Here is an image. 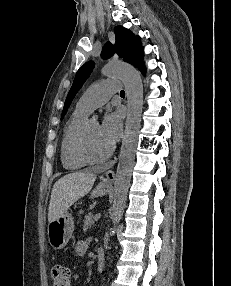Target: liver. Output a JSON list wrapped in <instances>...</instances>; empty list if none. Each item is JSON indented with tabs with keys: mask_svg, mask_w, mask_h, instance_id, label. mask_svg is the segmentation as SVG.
Masks as SVG:
<instances>
[{
	"mask_svg": "<svg viewBox=\"0 0 231 286\" xmlns=\"http://www.w3.org/2000/svg\"><path fill=\"white\" fill-rule=\"evenodd\" d=\"M95 180L96 175L87 172H74L60 178L51 192L48 221L60 217L77 200L89 193Z\"/></svg>",
	"mask_w": 231,
	"mask_h": 286,
	"instance_id": "1",
	"label": "liver"
}]
</instances>
